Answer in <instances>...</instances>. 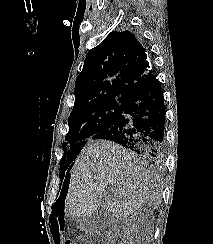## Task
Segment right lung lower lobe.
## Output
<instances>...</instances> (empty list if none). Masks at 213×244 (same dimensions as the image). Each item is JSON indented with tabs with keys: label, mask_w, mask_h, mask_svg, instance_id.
<instances>
[{
	"label": "right lung lower lobe",
	"mask_w": 213,
	"mask_h": 244,
	"mask_svg": "<svg viewBox=\"0 0 213 244\" xmlns=\"http://www.w3.org/2000/svg\"><path fill=\"white\" fill-rule=\"evenodd\" d=\"M164 129V97L157 77L152 75L130 98L116 122L92 139L113 141L148 160L160 162L164 157ZM68 183L66 175L62 192Z\"/></svg>",
	"instance_id": "right-lung-lower-lobe-1"
}]
</instances>
